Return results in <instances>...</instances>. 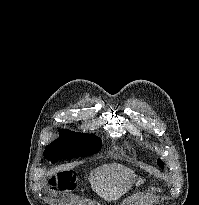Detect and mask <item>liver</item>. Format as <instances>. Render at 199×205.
<instances>
[{
    "mask_svg": "<svg viewBox=\"0 0 199 205\" xmlns=\"http://www.w3.org/2000/svg\"><path fill=\"white\" fill-rule=\"evenodd\" d=\"M134 171L121 164H104L89 177L92 189L104 200L115 201L131 187Z\"/></svg>",
    "mask_w": 199,
    "mask_h": 205,
    "instance_id": "6515ba94",
    "label": "liver"
}]
</instances>
